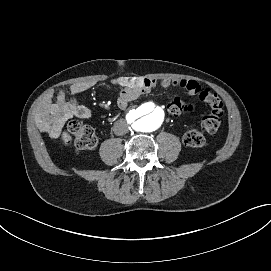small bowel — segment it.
<instances>
[{"label": "small bowel", "mask_w": 271, "mask_h": 271, "mask_svg": "<svg viewBox=\"0 0 271 271\" xmlns=\"http://www.w3.org/2000/svg\"><path fill=\"white\" fill-rule=\"evenodd\" d=\"M112 83L121 88L117 104L126 108L140 95L154 88L180 87L190 95H199L201 86L194 80L188 79H149L140 77H120ZM94 85L93 82H79L71 85L68 90L63 88L49 91L41 100L36 114L37 127L54 139L66 142L69 133L65 130L66 123L76 117L90 119L92 111L80 104L76 96ZM55 100V101H54Z\"/></svg>", "instance_id": "c3829d8e"}]
</instances>
